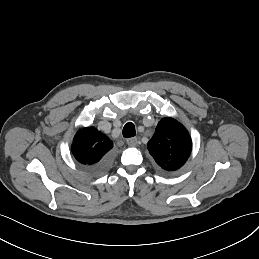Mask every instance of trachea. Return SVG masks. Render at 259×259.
<instances>
[{"instance_id": "1", "label": "trachea", "mask_w": 259, "mask_h": 259, "mask_svg": "<svg viewBox=\"0 0 259 259\" xmlns=\"http://www.w3.org/2000/svg\"><path fill=\"white\" fill-rule=\"evenodd\" d=\"M123 136L126 138L135 136V126L133 123L128 122L123 128Z\"/></svg>"}]
</instances>
